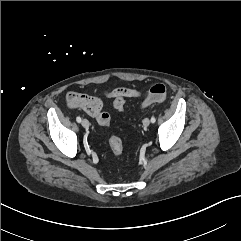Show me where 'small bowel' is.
I'll use <instances>...</instances> for the list:
<instances>
[{"instance_id": "1", "label": "small bowel", "mask_w": 241, "mask_h": 241, "mask_svg": "<svg viewBox=\"0 0 241 241\" xmlns=\"http://www.w3.org/2000/svg\"><path fill=\"white\" fill-rule=\"evenodd\" d=\"M117 91H120L125 98H138L141 96L138 90L125 87L114 89L107 92L106 95L109 98H115ZM66 103L70 108L80 109L93 118H97L103 110V102L100 98L74 91L67 93Z\"/></svg>"}]
</instances>
